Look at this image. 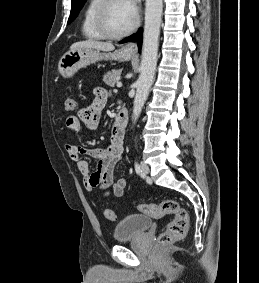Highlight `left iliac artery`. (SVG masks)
<instances>
[{"label": "left iliac artery", "instance_id": "44dca946", "mask_svg": "<svg viewBox=\"0 0 259 283\" xmlns=\"http://www.w3.org/2000/svg\"><path fill=\"white\" fill-rule=\"evenodd\" d=\"M135 171L137 174H140L142 172L140 169V165L137 162H135Z\"/></svg>", "mask_w": 259, "mask_h": 283}]
</instances>
